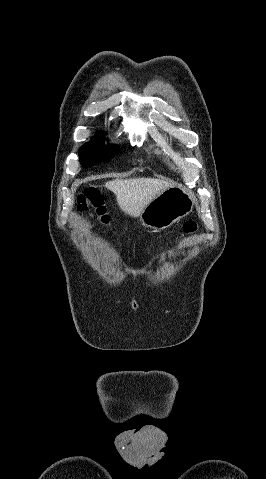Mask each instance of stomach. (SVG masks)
Instances as JSON below:
<instances>
[{
	"instance_id": "stomach-1",
	"label": "stomach",
	"mask_w": 266,
	"mask_h": 479,
	"mask_svg": "<svg viewBox=\"0 0 266 479\" xmlns=\"http://www.w3.org/2000/svg\"><path fill=\"white\" fill-rule=\"evenodd\" d=\"M195 198L181 186H172L153 199L139 215L142 225L163 230L193 211Z\"/></svg>"
}]
</instances>
